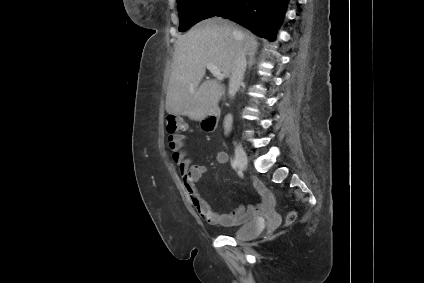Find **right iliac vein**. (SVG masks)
I'll list each match as a JSON object with an SVG mask.
<instances>
[{"label":"right iliac vein","instance_id":"right-iliac-vein-1","mask_svg":"<svg viewBox=\"0 0 424 283\" xmlns=\"http://www.w3.org/2000/svg\"><path fill=\"white\" fill-rule=\"evenodd\" d=\"M235 154L239 168L245 170L247 168L248 159L243 147L240 144H236Z\"/></svg>","mask_w":424,"mask_h":283}]
</instances>
